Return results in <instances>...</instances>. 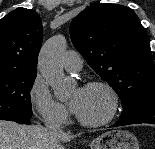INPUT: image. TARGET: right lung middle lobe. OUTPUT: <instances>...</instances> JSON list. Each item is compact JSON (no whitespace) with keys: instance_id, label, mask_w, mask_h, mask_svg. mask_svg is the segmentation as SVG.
<instances>
[{"instance_id":"1","label":"right lung middle lobe","mask_w":155,"mask_h":149,"mask_svg":"<svg viewBox=\"0 0 155 149\" xmlns=\"http://www.w3.org/2000/svg\"><path fill=\"white\" fill-rule=\"evenodd\" d=\"M36 75V71L0 73V120L30 123V90Z\"/></svg>"}]
</instances>
